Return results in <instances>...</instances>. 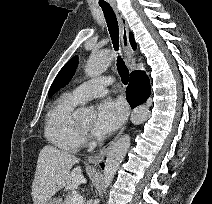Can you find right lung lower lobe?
<instances>
[{"mask_svg":"<svg viewBox=\"0 0 212 204\" xmlns=\"http://www.w3.org/2000/svg\"><path fill=\"white\" fill-rule=\"evenodd\" d=\"M150 93V81L145 72L140 70L132 72L126 89L127 101L130 106L134 108L144 103L149 98Z\"/></svg>","mask_w":212,"mask_h":204,"instance_id":"98d812e1","label":"right lung lower lobe"}]
</instances>
